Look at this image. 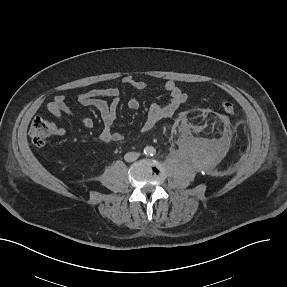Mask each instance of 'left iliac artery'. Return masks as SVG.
<instances>
[{
    "instance_id": "44dca946",
    "label": "left iliac artery",
    "mask_w": 287,
    "mask_h": 287,
    "mask_svg": "<svg viewBox=\"0 0 287 287\" xmlns=\"http://www.w3.org/2000/svg\"><path fill=\"white\" fill-rule=\"evenodd\" d=\"M156 154V150L155 149H152L151 150V156H154Z\"/></svg>"
}]
</instances>
